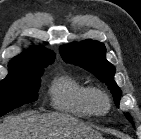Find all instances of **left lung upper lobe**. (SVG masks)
<instances>
[{
	"label": "left lung upper lobe",
	"mask_w": 141,
	"mask_h": 139,
	"mask_svg": "<svg viewBox=\"0 0 141 139\" xmlns=\"http://www.w3.org/2000/svg\"><path fill=\"white\" fill-rule=\"evenodd\" d=\"M105 52L106 48L103 43L90 39L60 47L64 61L88 70L108 85L118 107L122 92L114 81L115 67L106 60ZM125 115L133 124L130 115L127 113Z\"/></svg>",
	"instance_id": "1"
}]
</instances>
